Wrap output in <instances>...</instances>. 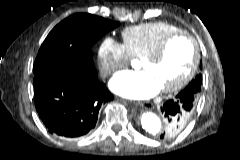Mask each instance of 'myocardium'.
I'll return each instance as SVG.
<instances>
[{
  "label": "myocardium",
  "instance_id": "obj_1",
  "mask_svg": "<svg viewBox=\"0 0 240 160\" xmlns=\"http://www.w3.org/2000/svg\"><path fill=\"white\" fill-rule=\"evenodd\" d=\"M177 38H185L190 42L193 50L192 63L189 70L182 79H180L174 85L161 88V91L163 93L178 92L181 89H183L186 85H188L189 82L194 78L200 63V50L197 41L191 34L187 32L184 31L174 32L164 37L151 53L141 58V62H157L161 60L165 54L168 45Z\"/></svg>",
  "mask_w": 240,
  "mask_h": 160
}]
</instances>
